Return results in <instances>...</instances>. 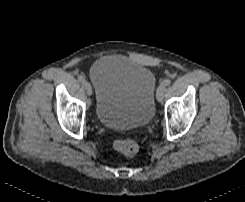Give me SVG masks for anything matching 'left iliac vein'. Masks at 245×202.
Here are the masks:
<instances>
[{
  "label": "left iliac vein",
  "mask_w": 245,
  "mask_h": 202,
  "mask_svg": "<svg viewBox=\"0 0 245 202\" xmlns=\"http://www.w3.org/2000/svg\"><path fill=\"white\" fill-rule=\"evenodd\" d=\"M165 91H166V86L165 85H160L158 87L156 96H157V100L159 102H162L164 94H165Z\"/></svg>",
  "instance_id": "4c4485c4"
}]
</instances>
